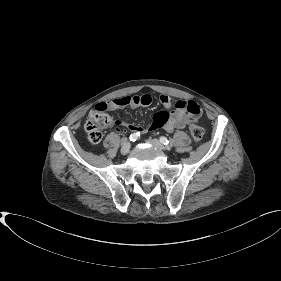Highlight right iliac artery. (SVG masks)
<instances>
[{
    "label": "right iliac artery",
    "mask_w": 281,
    "mask_h": 281,
    "mask_svg": "<svg viewBox=\"0 0 281 281\" xmlns=\"http://www.w3.org/2000/svg\"><path fill=\"white\" fill-rule=\"evenodd\" d=\"M140 134L139 133H133L130 135L129 139L130 141L134 142L139 138Z\"/></svg>",
    "instance_id": "right-iliac-artery-1"
}]
</instances>
